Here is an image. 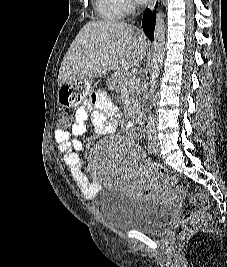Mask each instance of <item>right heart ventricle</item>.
Here are the masks:
<instances>
[{"label": "right heart ventricle", "mask_w": 227, "mask_h": 267, "mask_svg": "<svg viewBox=\"0 0 227 267\" xmlns=\"http://www.w3.org/2000/svg\"><path fill=\"white\" fill-rule=\"evenodd\" d=\"M97 15L105 21H117L124 15L119 0H95Z\"/></svg>", "instance_id": "obj_1"}]
</instances>
